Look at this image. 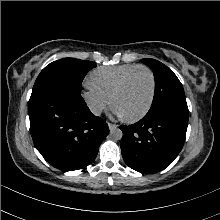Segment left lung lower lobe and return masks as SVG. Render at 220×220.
Wrapping results in <instances>:
<instances>
[{
  "mask_svg": "<svg viewBox=\"0 0 220 220\" xmlns=\"http://www.w3.org/2000/svg\"><path fill=\"white\" fill-rule=\"evenodd\" d=\"M187 125L188 118L161 111L145 115L135 124L120 126L125 163L145 174L165 169L181 151Z\"/></svg>",
  "mask_w": 220,
  "mask_h": 220,
  "instance_id": "left-lung-lower-lobe-1",
  "label": "left lung lower lobe"
}]
</instances>
